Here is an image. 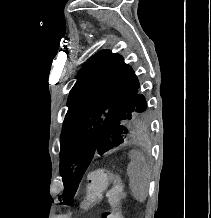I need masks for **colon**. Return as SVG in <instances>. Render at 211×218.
Instances as JSON below:
<instances>
[{
  "mask_svg": "<svg viewBox=\"0 0 211 218\" xmlns=\"http://www.w3.org/2000/svg\"><path fill=\"white\" fill-rule=\"evenodd\" d=\"M106 192L111 210L105 212L102 218H123L121 202L124 189L119 176L105 169L93 170L88 174V185L85 196V205L98 203Z\"/></svg>",
  "mask_w": 211,
  "mask_h": 218,
  "instance_id": "1",
  "label": "colon"
}]
</instances>
